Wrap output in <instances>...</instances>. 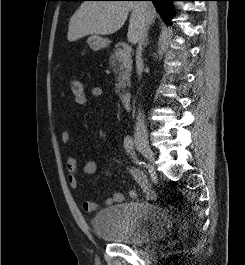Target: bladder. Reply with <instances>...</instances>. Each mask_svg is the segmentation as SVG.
Returning <instances> with one entry per match:
<instances>
[{"label": "bladder", "instance_id": "1", "mask_svg": "<svg viewBox=\"0 0 245 265\" xmlns=\"http://www.w3.org/2000/svg\"><path fill=\"white\" fill-rule=\"evenodd\" d=\"M92 229L101 239L115 244L140 245L168 232L165 210L149 202H123L99 210Z\"/></svg>", "mask_w": 245, "mask_h": 265}]
</instances>
